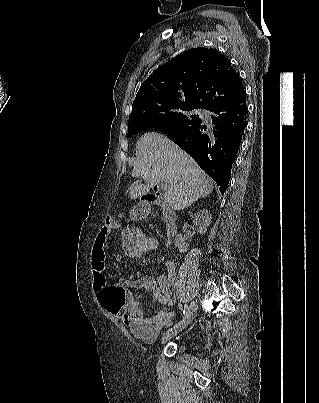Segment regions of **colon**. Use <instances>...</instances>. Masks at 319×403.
<instances>
[{
    "label": "colon",
    "instance_id": "colon-1",
    "mask_svg": "<svg viewBox=\"0 0 319 403\" xmlns=\"http://www.w3.org/2000/svg\"><path fill=\"white\" fill-rule=\"evenodd\" d=\"M123 243H126L125 260H140L141 254L152 257L154 249H158L155 234H146L143 226H127L123 234Z\"/></svg>",
    "mask_w": 319,
    "mask_h": 403
}]
</instances>
